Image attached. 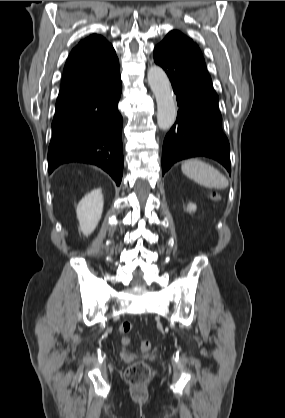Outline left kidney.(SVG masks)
Wrapping results in <instances>:
<instances>
[{"label": "left kidney", "mask_w": 285, "mask_h": 418, "mask_svg": "<svg viewBox=\"0 0 285 418\" xmlns=\"http://www.w3.org/2000/svg\"><path fill=\"white\" fill-rule=\"evenodd\" d=\"M196 210V205L193 203H189L188 207H187V211L191 212V211H195Z\"/></svg>", "instance_id": "left-kidney-1"}]
</instances>
